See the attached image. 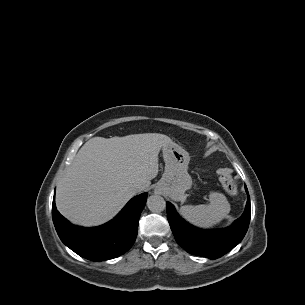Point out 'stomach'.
<instances>
[{
    "mask_svg": "<svg viewBox=\"0 0 305 305\" xmlns=\"http://www.w3.org/2000/svg\"><path fill=\"white\" fill-rule=\"evenodd\" d=\"M165 171L155 190L175 201H184L185 192L191 188L192 179L187 172L190 156L181 146L173 143L163 146Z\"/></svg>",
    "mask_w": 305,
    "mask_h": 305,
    "instance_id": "stomach-1",
    "label": "stomach"
}]
</instances>
